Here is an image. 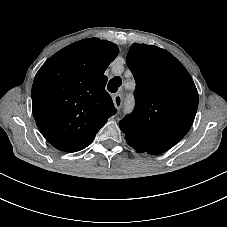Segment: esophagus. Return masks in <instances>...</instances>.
Returning a JSON list of instances; mask_svg holds the SVG:
<instances>
[{"mask_svg":"<svg viewBox=\"0 0 227 227\" xmlns=\"http://www.w3.org/2000/svg\"><path fill=\"white\" fill-rule=\"evenodd\" d=\"M113 102L117 110H119L122 107L123 103V95L122 94H116L113 97Z\"/></svg>","mask_w":227,"mask_h":227,"instance_id":"34e87169","label":"esophagus"}]
</instances>
